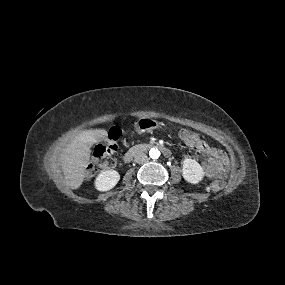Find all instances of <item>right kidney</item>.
Returning <instances> with one entry per match:
<instances>
[{
	"label": "right kidney",
	"mask_w": 285,
	"mask_h": 285,
	"mask_svg": "<svg viewBox=\"0 0 285 285\" xmlns=\"http://www.w3.org/2000/svg\"><path fill=\"white\" fill-rule=\"evenodd\" d=\"M120 180V174L116 170L102 171L95 180V188L99 191L111 190Z\"/></svg>",
	"instance_id": "1"
}]
</instances>
